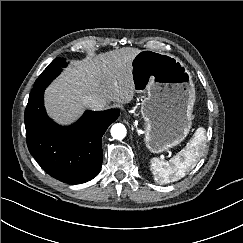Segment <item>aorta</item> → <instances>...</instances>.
<instances>
[{
  "mask_svg": "<svg viewBox=\"0 0 243 243\" xmlns=\"http://www.w3.org/2000/svg\"><path fill=\"white\" fill-rule=\"evenodd\" d=\"M126 134V127L121 123L114 124L111 127V135L114 139L122 140L125 138Z\"/></svg>",
  "mask_w": 243,
  "mask_h": 243,
  "instance_id": "obj_1",
  "label": "aorta"
}]
</instances>
